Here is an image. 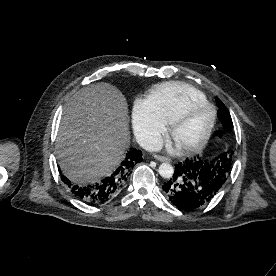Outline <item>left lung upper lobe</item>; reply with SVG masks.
I'll return each mask as SVG.
<instances>
[{
    "mask_svg": "<svg viewBox=\"0 0 276 276\" xmlns=\"http://www.w3.org/2000/svg\"><path fill=\"white\" fill-rule=\"evenodd\" d=\"M217 105L219 107V110L217 112V116L220 119L221 123L223 126L231 129L233 127L232 119L229 114L228 109L224 106L223 102L220 101L218 98H216ZM233 152L227 156V154H224V156L221 158V160H216L213 162V166H216V169H223V172L226 174L225 181L226 182L229 174H230V169H231V156Z\"/></svg>",
    "mask_w": 276,
    "mask_h": 276,
    "instance_id": "left-lung-upper-lobe-1",
    "label": "left lung upper lobe"
}]
</instances>
